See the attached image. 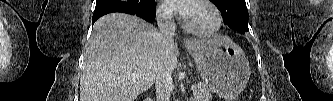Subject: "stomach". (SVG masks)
Masks as SVG:
<instances>
[{
	"label": "stomach",
	"instance_id": "obj_1",
	"mask_svg": "<svg viewBox=\"0 0 333 101\" xmlns=\"http://www.w3.org/2000/svg\"><path fill=\"white\" fill-rule=\"evenodd\" d=\"M186 49L209 88L222 99L234 101L244 90L250 67L242 49L227 37L192 41Z\"/></svg>",
	"mask_w": 333,
	"mask_h": 101
}]
</instances>
